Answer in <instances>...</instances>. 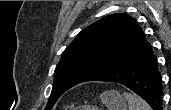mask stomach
I'll return each mask as SVG.
<instances>
[{
	"mask_svg": "<svg viewBox=\"0 0 171 110\" xmlns=\"http://www.w3.org/2000/svg\"><path fill=\"white\" fill-rule=\"evenodd\" d=\"M102 103L108 110H127V104L121 94L115 90L105 91L100 95Z\"/></svg>",
	"mask_w": 171,
	"mask_h": 110,
	"instance_id": "stomach-1",
	"label": "stomach"
}]
</instances>
